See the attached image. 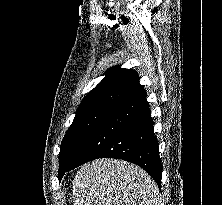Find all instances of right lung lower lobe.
I'll list each match as a JSON object with an SVG mask.
<instances>
[{"label": "right lung lower lobe", "mask_w": 222, "mask_h": 205, "mask_svg": "<svg viewBox=\"0 0 222 205\" xmlns=\"http://www.w3.org/2000/svg\"><path fill=\"white\" fill-rule=\"evenodd\" d=\"M98 158H116L135 163L161 187L162 164L144 88L106 113L65 172Z\"/></svg>", "instance_id": "obj_1"}]
</instances>
